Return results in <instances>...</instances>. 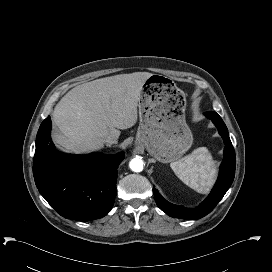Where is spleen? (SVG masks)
<instances>
[{"instance_id":"3e777b00","label":"spleen","mask_w":272,"mask_h":272,"mask_svg":"<svg viewBox=\"0 0 272 272\" xmlns=\"http://www.w3.org/2000/svg\"><path fill=\"white\" fill-rule=\"evenodd\" d=\"M170 167L187 186L199 193H207L216 178L215 161L206 147H199L191 154L172 161Z\"/></svg>"}]
</instances>
